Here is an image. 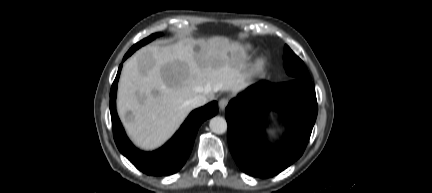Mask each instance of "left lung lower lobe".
I'll use <instances>...</instances> for the list:
<instances>
[{"mask_svg":"<svg viewBox=\"0 0 432 193\" xmlns=\"http://www.w3.org/2000/svg\"><path fill=\"white\" fill-rule=\"evenodd\" d=\"M281 110L287 134L275 146L265 142L262 131L266 113ZM315 87L311 80L292 79L280 84L262 81L252 85L226 108L228 144L237 165L260 178L277 175L303 153L317 117Z\"/></svg>","mask_w":432,"mask_h":193,"instance_id":"obj_1","label":"left lung lower lobe"}]
</instances>
